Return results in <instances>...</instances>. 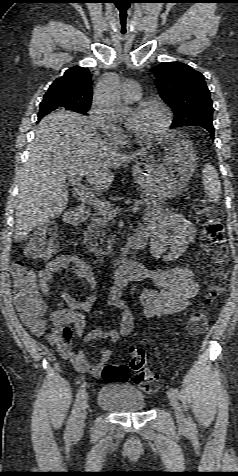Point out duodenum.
<instances>
[{
    "mask_svg": "<svg viewBox=\"0 0 238 476\" xmlns=\"http://www.w3.org/2000/svg\"><path fill=\"white\" fill-rule=\"evenodd\" d=\"M90 210L86 208L78 209L67 216L69 223L78 224L86 221L90 216ZM146 233L142 229L134 231L128 238L121 252L111 260L112 267L117 271H132L135 269V262L131 260L132 255L141 249L145 243Z\"/></svg>",
    "mask_w": 238,
    "mask_h": 476,
    "instance_id": "duodenum-1",
    "label": "duodenum"
}]
</instances>
